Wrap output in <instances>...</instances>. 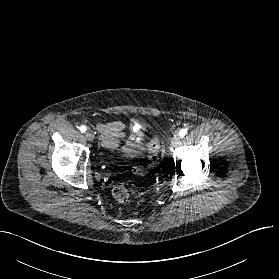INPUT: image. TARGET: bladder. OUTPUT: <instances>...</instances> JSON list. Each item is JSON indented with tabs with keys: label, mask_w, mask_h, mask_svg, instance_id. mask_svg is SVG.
I'll return each mask as SVG.
<instances>
[{
	"label": "bladder",
	"mask_w": 279,
	"mask_h": 279,
	"mask_svg": "<svg viewBox=\"0 0 279 279\" xmlns=\"http://www.w3.org/2000/svg\"><path fill=\"white\" fill-rule=\"evenodd\" d=\"M141 136V127L139 125H134L132 130V139L139 140Z\"/></svg>",
	"instance_id": "1"
}]
</instances>
